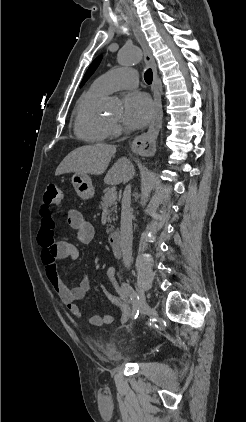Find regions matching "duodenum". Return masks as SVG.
Listing matches in <instances>:
<instances>
[{
	"label": "duodenum",
	"mask_w": 246,
	"mask_h": 422,
	"mask_svg": "<svg viewBox=\"0 0 246 422\" xmlns=\"http://www.w3.org/2000/svg\"><path fill=\"white\" fill-rule=\"evenodd\" d=\"M109 245L116 257L122 256L121 236L119 232H112L108 237Z\"/></svg>",
	"instance_id": "duodenum-1"
}]
</instances>
